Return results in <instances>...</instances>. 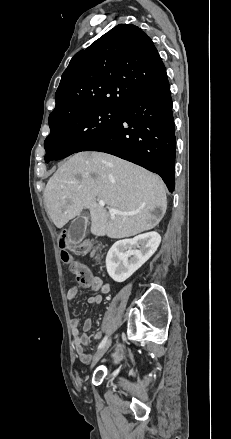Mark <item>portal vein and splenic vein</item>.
Listing matches in <instances>:
<instances>
[{"label":"portal vein and splenic vein","instance_id":"obj_1","mask_svg":"<svg viewBox=\"0 0 231 439\" xmlns=\"http://www.w3.org/2000/svg\"><path fill=\"white\" fill-rule=\"evenodd\" d=\"M99 205L100 206H105V202L103 200H100L99 201ZM108 210H109V212L111 214H126V215L128 214V213H122V212H120L119 210H117L115 208H108Z\"/></svg>","mask_w":231,"mask_h":439}]
</instances>
